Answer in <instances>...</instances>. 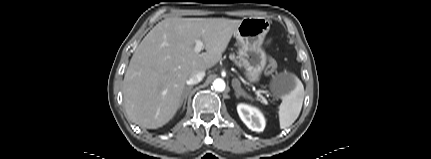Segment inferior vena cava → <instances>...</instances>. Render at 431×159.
Wrapping results in <instances>:
<instances>
[{
	"label": "inferior vena cava",
	"mask_w": 431,
	"mask_h": 159,
	"mask_svg": "<svg viewBox=\"0 0 431 159\" xmlns=\"http://www.w3.org/2000/svg\"><path fill=\"white\" fill-rule=\"evenodd\" d=\"M204 76H205V71L204 70L195 71L186 80V83H187V85L198 84L200 81H202V79L204 78Z\"/></svg>",
	"instance_id": "obj_1"
}]
</instances>
